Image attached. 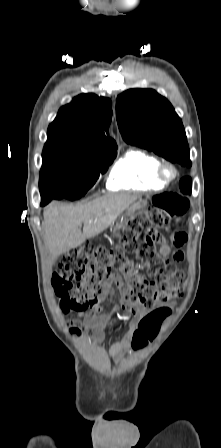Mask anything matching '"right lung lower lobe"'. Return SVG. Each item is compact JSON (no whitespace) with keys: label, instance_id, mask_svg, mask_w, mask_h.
I'll return each mask as SVG.
<instances>
[{"label":"right lung lower lobe","instance_id":"right-lung-lower-lobe-1","mask_svg":"<svg viewBox=\"0 0 221 448\" xmlns=\"http://www.w3.org/2000/svg\"><path fill=\"white\" fill-rule=\"evenodd\" d=\"M51 200L50 199H46V200H42V202H41V206H44V205H46L48 202H50Z\"/></svg>","mask_w":221,"mask_h":448}]
</instances>
